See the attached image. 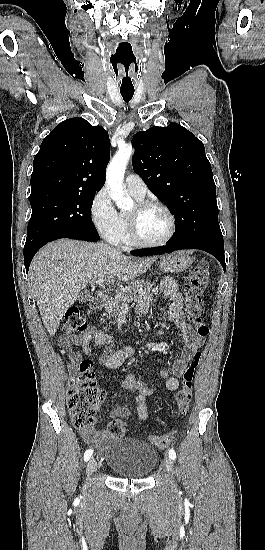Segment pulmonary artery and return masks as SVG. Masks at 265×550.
<instances>
[{"label":"pulmonary artery","mask_w":265,"mask_h":550,"mask_svg":"<svg viewBox=\"0 0 265 550\" xmlns=\"http://www.w3.org/2000/svg\"><path fill=\"white\" fill-rule=\"evenodd\" d=\"M125 185L129 193L144 198L147 192L145 182L136 174H129L125 179Z\"/></svg>","instance_id":"pulmonary-artery-1"}]
</instances>
